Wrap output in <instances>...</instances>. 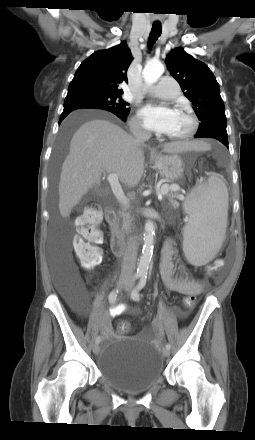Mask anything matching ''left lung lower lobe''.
<instances>
[{
  "instance_id": "obj_1",
  "label": "left lung lower lobe",
  "mask_w": 255,
  "mask_h": 440,
  "mask_svg": "<svg viewBox=\"0 0 255 440\" xmlns=\"http://www.w3.org/2000/svg\"><path fill=\"white\" fill-rule=\"evenodd\" d=\"M195 138H214L223 143L226 147H228V137L220 136L216 134H207V135H195Z\"/></svg>"
}]
</instances>
